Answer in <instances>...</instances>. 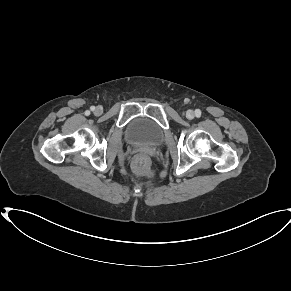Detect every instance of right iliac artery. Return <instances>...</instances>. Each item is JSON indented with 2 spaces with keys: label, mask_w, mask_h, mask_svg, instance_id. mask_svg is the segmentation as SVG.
I'll list each match as a JSON object with an SVG mask.
<instances>
[{
  "label": "right iliac artery",
  "mask_w": 291,
  "mask_h": 291,
  "mask_svg": "<svg viewBox=\"0 0 291 291\" xmlns=\"http://www.w3.org/2000/svg\"><path fill=\"white\" fill-rule=\"evenodd\" d=\"M94 109H95V107H91V110H94ZM85 114H86V115H89L90 112H89V111H86Z\"/></svg>",
  "instance_id": "obj_1"
}]
</instances>
